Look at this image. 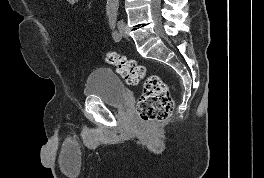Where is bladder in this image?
I'll use <instances>...</instances> for the list:
<instances>
[{
	"instance_id": "bladder-1",
	"label": "bladder",
	"mask_w": 264,
	"mask_h": 178,
	"mask_svg": "<svg viewBox=\"0 0 264 178\" xmlns=\"http://www.w3.org/2000/svg\"><path fill=\"white\" fill-rule=\"evenodd\" d=\"M84 96L97 99L103 104L121 107L127 101L126 87L122 80L108 68H97L86 78Z\"/></svg>"
}]
</instances>
